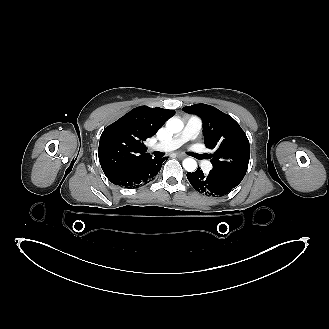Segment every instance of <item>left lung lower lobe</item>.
<instances>
[{
	"label": "left lung lower lobe",
	"mask_w": 329,
	"mask_h": 329,
	"mask_svg": "<svg viewBox=\"0 0 329 329\" xmlns=\"http://www.w3.org/2000/svg\"><path fill=\"white\" fill-rule=\"evenodd\" d=\"M187 178L195 190L215 197L228 194L240 184L212 171L204 174L200 168L193 173L188 172Z\"/></svg>",
	"instance_id": "0a47b994"
}]
</instances>
